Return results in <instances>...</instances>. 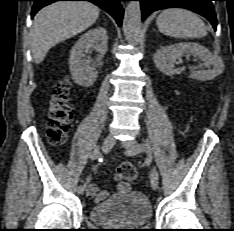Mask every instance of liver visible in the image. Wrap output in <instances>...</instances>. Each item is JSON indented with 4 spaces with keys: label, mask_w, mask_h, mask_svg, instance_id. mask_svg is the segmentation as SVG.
Here are the masks:
<instances>
[{
    "label": "liver",
    "mask_w": 234,
    "mask_h": 231,
    "mask_svg": "<svg viewBox=\"0 0 234 231\" xmlns=\"http://www.w3.org/2000/svg\"><path fill=\"white\" fill-rule=\"evenodd\" d=\"M98 16L99 8L90 2H56L41 9L30 32L35 63H41L58 43L89 28Z\"/></svg>",
    "instance_id": "6515ba94"
}]
</instances>
